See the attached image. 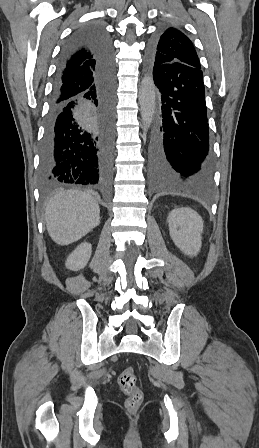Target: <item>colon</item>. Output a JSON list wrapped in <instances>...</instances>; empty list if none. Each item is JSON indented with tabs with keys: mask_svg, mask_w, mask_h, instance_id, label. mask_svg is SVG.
<instances>
[{
	"mask_svg": "<svg viewBox=\"0 0 259 448\" xmlns=\"http://www.w3.org/2000/svg\"><path fill=\"white\" fill-rule=\"evenodd\" d=\"M118 384L121 391L127 395L125 406L128 411H137L143 401V393L137 385L133 367L129 366L122 371Z\"/></svg>",
	"mask_w": 259,
	"mask_h": 448,
	"instance_id": "obj_1",
	"label": "colon"
}]
</instances>
